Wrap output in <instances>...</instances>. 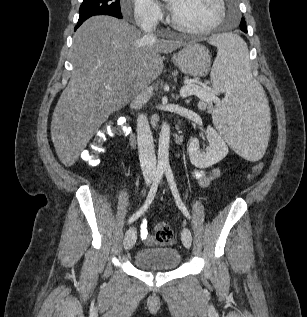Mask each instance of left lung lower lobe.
<instances>
[{
    "label": "left lung lower lobe",
    "mask_w": 307,
    "mask_h": 317,
    "mask_svg": "<svg viewBox=\"0 0 307 317\" xmlns=\"http://www.w3.org/2000/svg\"><path fill=\"white\" fill-rule=\"evenodd\" d=\"M240 29L243 31V32H247V28H246V24H245V20L242 18L241 20V23H240Z\"/></svg>",
    "instance_id": "1"
}]
</instances>
